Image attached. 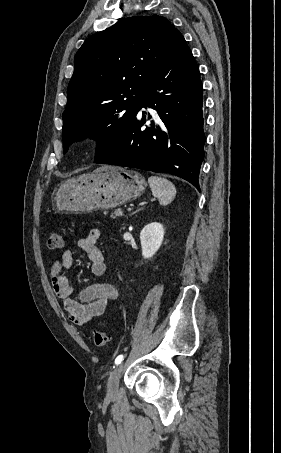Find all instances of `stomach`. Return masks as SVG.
I'll list each match as a JSON object with an SVG mask.
<instances>
[{
    "mask_svg": "<svg viewBox=\"0 0 281 453\" xmlns=\"http://www.w3.org/2000/svg\"><path fill=\"white\" fill-rule=\"evenodd\" d=\"M145 178L122 166H106L105 170L85 172L61 182L54 190L57 210L92 212L120 206L143 194Z\"/></svg>",
    "mask_w": 281,
    "mask_h": 453,
    "instance_id": "stomach-1",
    "label": "stomach"
}]
</instances>
